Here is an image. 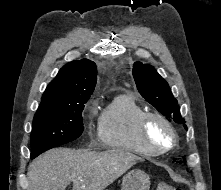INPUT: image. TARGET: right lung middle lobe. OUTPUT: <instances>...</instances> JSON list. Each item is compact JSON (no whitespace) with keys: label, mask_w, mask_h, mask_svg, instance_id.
Listing matches in <instances>:
<instances>
[{"label":"right lung middle lobe","mask_w":221,"mask_h":190,"mask_svg":"<svg viewBox=\"0 0 221 190\" xmlns=\"http://www.w3.org/2000/svg\"><path fill=\"white\" fill-rule=\"evenodd\" d=\"M83 101L68 106L39 107L34 119L31 134V158L53 147L78 138L83 130Z\"/></svg>","instance_id":"obj_1"}]
</instances>
